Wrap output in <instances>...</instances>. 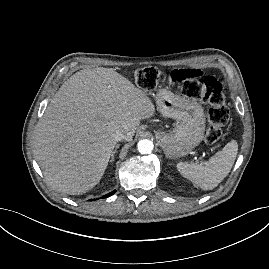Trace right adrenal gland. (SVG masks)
Returning <instances> with one entry per match:
<instances>
[{
	"label": "right adrenal gland",
	"instance_id": "obj_1",
	"mask_svg": "<svg viewBox=\"0 0 269 269\" xmlns=\"http://www.w3.org/2000/svg\"><path fill=\"white\" fill-rule=\"evenodd\" d=\"M119 146H120V145H116V147H115V149H114V151H113V153H112L111 162L114 161V156H115V154H116L117 149L119 148Z\"/></svg>",
	"mask_w": 269,
	"mask_h": 269
}]
</instances>
